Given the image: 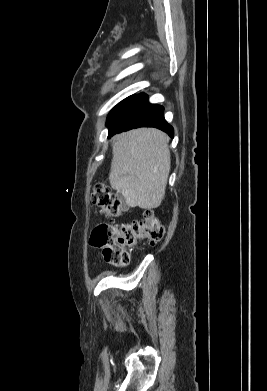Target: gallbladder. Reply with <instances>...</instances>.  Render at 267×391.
I'll return each mask as SVG.
<instances>
[{
  "label": "gallbladder",
  "mask_w": 267,
  "mask_h": 391,
  "mask_svg": "<svg viewBox=\"0 0 267 391\" xmlns=\"http://www.w3.org/2000/svg\"><path fill=\"white\" fill-rule=\"evenodd\" d=\"M119 197H120V198H122V195H121V194H119Z\"/></svg>",
  "instance_id": "1"
}]
</instances>
